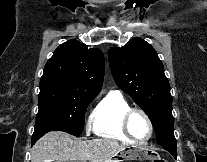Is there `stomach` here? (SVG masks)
I'll return each instance as SVG.
<instances>
[{
	"instance_id": "stomach-1",
	"label": "stomach",
	"mask_w": 207,
	"mask_h": 162,
	"mask_svg": "<svg viewBox=\"0 0 207 162\" xmlns=\"http://www.w3.org/2000/svg\"><path fill=\"white\" fill-rule=\"evenodd\" d=\"M133 160H161L155 152L143 147H126L115 156L111 162H125Z\"/></svg>"
}]
</instances>
